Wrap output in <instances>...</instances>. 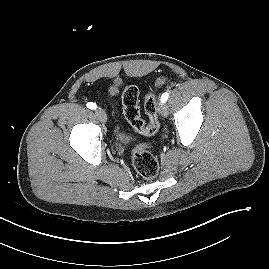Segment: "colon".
I'll use <instances>...</instances> for the list:
<instances>
[{
	"mask_svg": "<svg viewBox=\"0 0 269 269\" xmlns=\"http://www.w3.org/2000/svg\"><path fill=\"white\" fill-rule=\"evenodd\" d=\"M165 78H159L157 85H162ZM111 95H116L118 90L110 89ZM122 107L125 118L130 126L145 136H152L159 129L158 105L155 96L148 93L144 100V110L148 116V122L143 121L140 115L139 91L135 86H128L122 94ZM131 162L136 172L144 179H154L159 171V164L156 157L149 151L147 146L136 148L131 154Z\"/></svg>",
	"mask_w": 269,
	"mask_h": 269,
	"instance_id": "colon-1",
	"label": "colon"
}]
</instances>
